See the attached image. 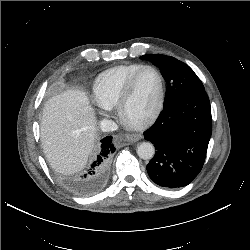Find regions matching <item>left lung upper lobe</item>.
<instances>
[{
    "label": "left lung upper lobe",
    "instance_id": "1",
    "mask_svg": "<svg viewBox=\"0 0 250 250\" xmlns=\"http://www.w3.org/2000/svg\"><path fill=\"white\" fill-rule=\"evenodd\" d=\"M141 58L158 66L167 82L164 106L189 94L204 91V86L194 71L176 58L162 54H147Z\"/></svg>",
    "mask_w": 250,
    "mask_h": 250
}]
</instances>
